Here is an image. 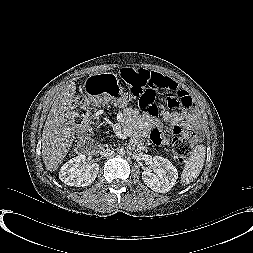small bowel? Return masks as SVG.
Wrapping results in <instances>:
<instances>
[{"label":"small bowel","instance_id":"1","mask_svg":"<svg viewBox=\"0 0 253 253\" xmlns=\"http://www.w3.org/2000/svg\"><path fill=\"white\" fill-rule=\"evenodd\" d=\"M155 74L167 80L172 87L180 89L178 83L172 78L159 73ZM124 118L134 128L136 133L143 136H149L151 141L156 145H164L168 143V139L162 133V121L171 126L174 134H180L183 132L184 127L181 125V122H186L188 130H192L191 127L195 126L198 122L197 113L188 108L178 111H166L162 116V121L142 114L137 110L125 111Z\"/></svg>","mask_w":253,"mask_h":253}]
</instances>
